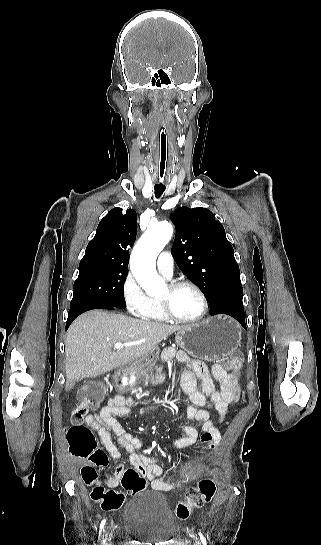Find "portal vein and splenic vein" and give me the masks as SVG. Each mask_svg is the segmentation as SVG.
<instances>
[{"label":"portal vein and splenic vein","mask_w":321,"mask_h":545,"mask_svg":"<svg viewBox=\"0 0 321 545\" xmlns=\"http://www.w3.org/2000/svg\"><path fill=\"white\" fill-rule=\"evenodd\" d=\"M131 345H137V343H115L114 349H122V347H131Z\"/></svg>","instance_id":"1"}]
</instances>
